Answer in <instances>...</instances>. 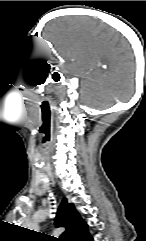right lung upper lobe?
Masks as SVG:
<instances>
[{
    "label": "right lung upper lobe",
    "mask_w": 146,
    "mask_h": 241,
    "mask_svg": "<svg viewBox=\"0 0 146 241\" xmlns=\"http://www.w3.org/2000/svg\"><path fill=\"white\" fill-rule=\"evenodd\" d=\"M55 225L56 227L65 226L66 228L59 241H87L90 237L87 224L79 216L74 205L68 203L66 198L62 200L59 206Z\"/></svg>",
    "instance_id": "1"
}]
</instances>
